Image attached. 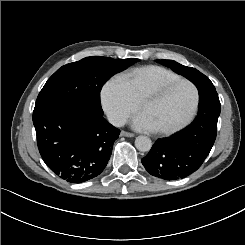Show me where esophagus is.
I'll return each mask as SVG.
<instances>
[{
	"label": "esophagus",
	"instance_id": "esophagus-1",
	"mask_svg": "<svg viewBox=\"0 0 245 245\" xmlns=\"http://www.w3.org/2000/svg\"><path fill=\"white\" fill-rule=\"evenodd\" d=\"M120 135L125 136V137H134L135 136L133 133L126 132V131H121Z\"/></svg>",
	"mask_w": 245,
	"mask_h": 245
}]
</instances>
